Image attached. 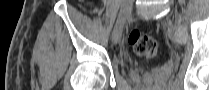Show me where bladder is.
Here are the masks:
<instances>
[{
  "label": "bladder",
  "instance_id": "31cf9c89",
  "mask_svg": "<svg viewBox=\"0 0 209 90\" xmlns=\"http://www.w3.org/2000/svg\"><path fill=\"white\" fill-rule=\"evenodd\" d=\"M142 82L144 83V87H155V78L154 76L148 72L142 76Z\"/></svg>",
  "mask_w": 209,
  "mask_h": 90
}]
</instances>
